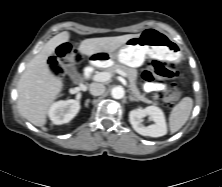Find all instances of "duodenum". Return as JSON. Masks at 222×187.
I'll return each mask as SVG.
<instances>
[{"label": "duodenum", "mask_w": 222, "mask_h": 187, "mask_svg": "<svg viewBox=\"0 0 222 187\" xmlns=\"http://www.w3.org/2000/svg\"><path fill=\"white\" fill-rule=\"evenodd\" d=\"M92 70H93V67H92V66H89V67L86 69V71H85V76H86V77H89V76L91 75V73H92ZM83 85H84L83 82H80V83L78 84L79 87H82Z\"/></svg>", "instance_id": "410a0bca"}]
</instances>
